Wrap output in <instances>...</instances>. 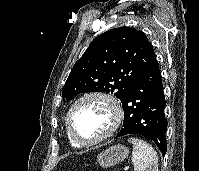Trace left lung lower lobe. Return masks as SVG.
Returning <instances> with one entry per match:
<instances>
[{
    "instance_id": "1",
    "label": "left lung lower lobe",
    "mask_w": 199,
    "mask_h": 171,
    "mask_svg": "<svg viewBox=\"0 0 199 171\" xmlns=\"http://www.w3.org/2000/svg\"><path fill=\"white\" fill-rule=\"evenodd\" d=\"M123 127L117 137L137 134L152 139L161 153L167 150L166 105L156 57L131 85L122 99Z\"/></svg>"
}]
</instances>
